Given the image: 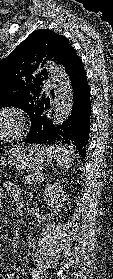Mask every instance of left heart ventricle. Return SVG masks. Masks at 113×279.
<instances>
[{
    "mask_svg": "<svg viewBox=\"0 0 113 279\" xmlns=\"http://www.w3.org/2000/svg\"><path fill=\"white\" fill-rule=\"evenodd\" d=\"M13 125L14 122L10 117L0 118V134L12 128Z\"/></svg>",
    "mask_w": 113,
    "mask_h": 279,
    "instance_id": "b2bd125f",
    "label": "left heart ventricle"
}]
</instances>
